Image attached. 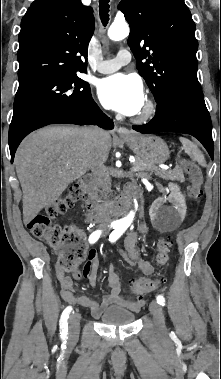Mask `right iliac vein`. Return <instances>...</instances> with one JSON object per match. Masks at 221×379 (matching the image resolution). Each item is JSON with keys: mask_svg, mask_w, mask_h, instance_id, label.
Listing matches in <instances>:
<instances>
[{"mask_svg": "<svg viewBox=\"0 0 221 379\" xmlns=\"http://www.w3.org/2000/svg\"><path fill=\"white\" fill-rule=\"evenodd\" d=\"M80 329V315L73 313L69 317V337L71 339L77 338Z\"/></svg>", "mask_w": 221, "mask_h": 379, "instance_id": "right-iliac-vein-1", "label": "right iliac vein"}]
</instances>
